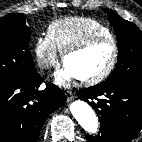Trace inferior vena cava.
I'll list each match as a JSON object with an SVG mask.
<instances>
[{"instance_id":"1","label":"inferior vena cava","mask_w":142,"mask_h":142,"mask_svg":"<svg viewBox=\"0 0 142 142\" xmlns=\"http://www.w3.org/2000/svg\"><path fill=\"white\" fill-rule=\"evenodd\" d=\"M46 67H50V64H49V63H47Z\"/></svg>"}]
</instances>
